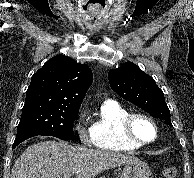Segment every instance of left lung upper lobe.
Segmentation results:
<instances>
[{"label":"left lung upper lobe","instance_id":"5c2ea615","mask_svg":"<svg viewBox=\"0 0 194 178\" xmlns=\"http://www.w3.org/2000/svg\"><path fill=\"white\" fill-rule=\"evenodd\" d=\"M108 78L114 92L172 126L170 111L162 90L153 78L141 71L137 65L126 62L119 68L110 70Z\"/></svg>","mask_w":194,"mask_h":178}]
</instances>
